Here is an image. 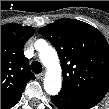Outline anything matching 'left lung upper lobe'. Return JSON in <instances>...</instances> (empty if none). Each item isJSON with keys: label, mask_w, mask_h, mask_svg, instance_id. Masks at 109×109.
I'll list each match as a JSON object with an SVG mask.
<instances>
[{"label": "left lung upper lobe", "mask_w": 109, "mask_h": 109, "mask_svg": "<svg viewBox=\"0 0 109 109\" xmlns=\"http://www.w3.org/2000/svg\"><path fill=\"white\" fill-rule=\"evenodd\" d=\"M39 31L58 52L62 90L99 103L109 90V44L102 33L75 19H59Z\"/></svg>", "instance_id": "1"}]
</instances>
